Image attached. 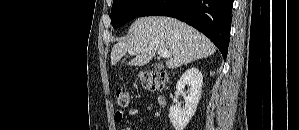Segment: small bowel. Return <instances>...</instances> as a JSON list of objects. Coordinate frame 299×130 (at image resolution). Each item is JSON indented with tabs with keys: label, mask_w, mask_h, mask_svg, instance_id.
Segmentation results:
<instances>
[{
	"label": "small bowel",
	"mask_w": 299,
	"mask_h": 130,
	"mask_svg": "<svg viewBox=\"0 0 299 130\" xmlns=\"http://www.w3.org/2000/svg\"><path fill=\"white\" fill-rule=\"evenodd\" d=\"M129 115L136 117L139 115V113L136 109H131L129 111ZM123 118H124V111L118 110L115 112L114 115L115 122L120 123L123 120ZM121 130H134V129L130 126H124Z\"/></svg>",
	"instance_id": "1"
}]
</instances>
